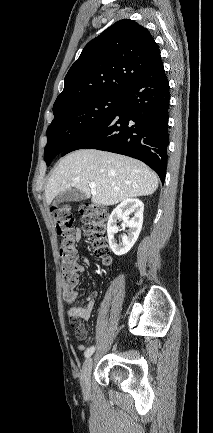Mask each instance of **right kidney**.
Wrapping results in <instances>:
<instances>
[{"label":"right kidney","instance_id":"ca27d5eb","mask_svg":"<svg viewBox=\"0 0 213 433\" xmlns=\"http://www.w3.org/2000/svg\"><path fill=\"white\" fill-rule=\"evenodd\" d=\"M144 204L139 199L130 198L121 202L109 216L107 235L109 246L117 256L126 254L135 244L143 224ZM134 214L130 219L129 215ZM122 219L129 228L128 235L122 236V242L116 243L114 235L119 231L117 220Z\"/></svg>","mask_w":213,"mask_h":433}]
</instances>
